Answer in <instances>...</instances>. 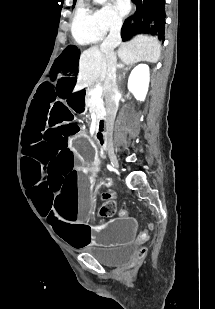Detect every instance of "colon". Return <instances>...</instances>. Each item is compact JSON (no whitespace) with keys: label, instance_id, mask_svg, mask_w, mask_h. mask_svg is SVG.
Wrapping results in <instances>:
<instances>
[{"label":"colon","instance_id":"colon-1","mask_svg":"<svg viewBox=\"0 0 215 309\" xmlns=\"http://www.w3.org/2000/svg\"><path fill=\"white\" fill-rule=\"evenodd\" d=\"M117 203L115 198L111 194H105V202L103 203L100 212L102 217L110 218L116 213ZM140 253L144 254L145 250H141Z\"/></svg>","mask_w":215,"mask_h":309}]
</instances>
